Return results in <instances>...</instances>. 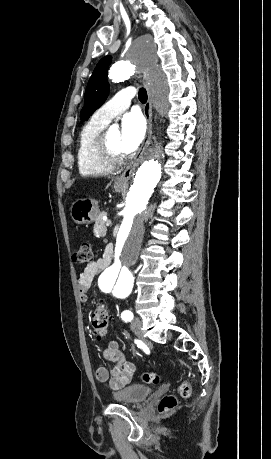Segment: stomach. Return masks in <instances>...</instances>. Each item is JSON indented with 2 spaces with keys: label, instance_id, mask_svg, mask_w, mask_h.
I'll return each instance as SVG.
<instances>
[{
  "label": "stomach",
  "instance_id": "obj_1",
  "mask_svg": "<svg viewBox=\"0 0 271 459\" xmlns=\"http://www.w3.org/2000/svg\"><path fill=\"white\" fill-rule=\"evenodd\" d=\"M126 186H113L114 192H122ZM99 208L95 200L81 198L75 200L70 208V216L75 224H92L98 218Z\"/></svg>",
  "mask_w": 271,
  "mask_h": 459
}]
</instances>
